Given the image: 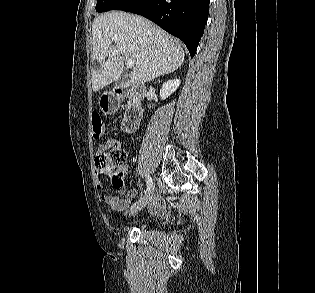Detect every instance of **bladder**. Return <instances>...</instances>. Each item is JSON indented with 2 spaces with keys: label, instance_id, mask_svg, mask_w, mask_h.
Wrapping results in <instances>:
<instances>
[{
  "label": "bladder",
  "instance_id": "obj_1",
  "mask_svg": "<svg viewBox=\"0 0 315 293\" xmlns=\"http://www.w3.org/2000/svg\"><path fill=\"white\" fill-rule=\"evenodd\" d=\"M137 226L139 228H145V227H148V224L146 222L142 221V222H138Z\"/></svg>",
  "mask_w": 315,
  "mask_h": 293
}]
</instances>
